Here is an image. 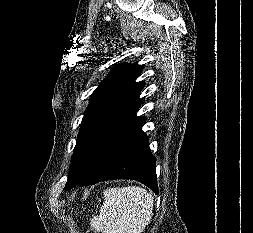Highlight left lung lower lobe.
<instances>
[{
    "instance_id": "obj_1",
    "label": "left lung lower lobe",
    "mask_w": 253,
    "mask_h": 233,
    "mask_svg": "<svg viewBox=\"0 0 253 233\" xmlns=\"http://www.w3.org/2000/svg\"><path fill=\"white\" fill-rule=\"evenodd\" d=\"M141 103L142 101L117 126L89 172L76 185L87 186L113 179H134L158 194L156 159L150 152L147 136L141 130L145 118L135 116Z\"/></svg>"
}]
</instances>
